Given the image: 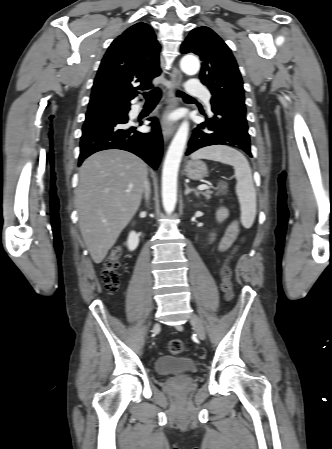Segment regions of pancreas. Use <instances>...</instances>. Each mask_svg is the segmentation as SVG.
Wrapping results in <instances>:
<instances>
[{
	"label": "pancreas",
	"mask_w": 332,
	"mask_h": 449,
	"mask_svg": "<svg viewBox=\"0 0 332 449\" xmlns=\"http://www.w3.org/2000/svg\"><path fill=\"white\" fill-rule=\"evenodd\" d=\"M212 193H213V191H211V190H206V191H204V192H201V194H202L206 199H210Z\"/></svg>",
	"instance_id": "obj_1"
}]
</instances>
